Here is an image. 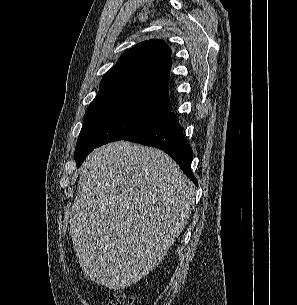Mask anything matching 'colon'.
<instances>
[{"label": "colon", "mask_w": 297, "mask_h": 305, "mask_svg": "<svg viewBox=\"0 0 297 305\" xmlns=\"http://www.w3.org/2000/svg\"><path fill=\"white\" fill-rule=\"evenodd\" d=\"M107 305H139L137 298L127 297L123 290L111 292Z\"/></svg>", "instance_id": "obj_1"}]
</instances>
